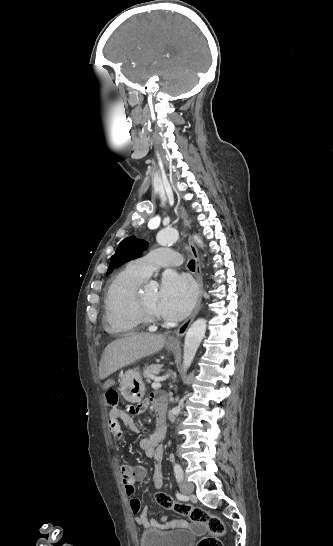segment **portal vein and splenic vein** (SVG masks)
<instances>
[{
	"instance_id": "18ae733b",
	"label": "portal vein and splenic vein",
	"mask_w": 333,
	"mask_h": 546,
	"mask_svg": "<svg viewBox=\"0 0 333 546\" xmlns=\"http://www.w3.org/2000/svg\"><path fill=\"white\" fill-rule=\"evenodd\" d=\"M163 380V378H160L158 380H156L155 382L152 383V388L153 389H158L161 387V384H160V381Z\"/></svg>"
}]
</instances>
